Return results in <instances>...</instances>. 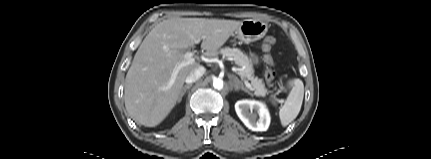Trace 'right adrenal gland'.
Returning a JSON list of instances; mask_svg holds the SVG:
<instances>
[{
	"mask_svg": "<svg viewBox=\"0 0 431 159\" xmlns=\"http://www.w3.org/2000/svg\"><path fill=\"white\" fill-rule=\"evenodd\" d=\"M191 87H192V84H189V85H185V86L182 88V91H181L180 96H179V98H178V103H179V102H181L182 97L184 96V94L186 93V91H187L188 89H190Z\"/></svg>",
	"mask_w": 431,
	"mask_h": 159,
	"instance_id": "2a0ac1e0",
	"label": "right adrenal gland"
}]
</instances>
